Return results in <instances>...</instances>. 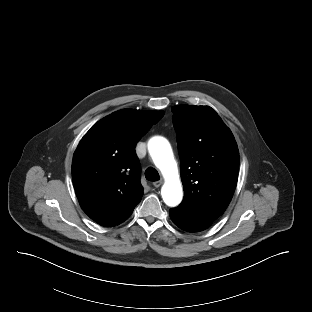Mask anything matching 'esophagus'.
Returning a JSON list of instances; mask_svg holds the SVG:
<instances>
[{
	"label": "esophagus",
	"mask_w": 312,
	"mask_h": 312,
	"mask_svg": "<svg viewBox=\"0 0 312 312\" xmlns=\"http://www.w3.org/2000/svg\"><path fill=\"white\" fill-rule=\"evenodd\" d=\"M162 183H163L162 180L155 181V182H153V186L156 187V188H158V187H160V186L162 185Z\"/></svg>",
	"instance_id": "esophagus-1"
}]
</instances>
